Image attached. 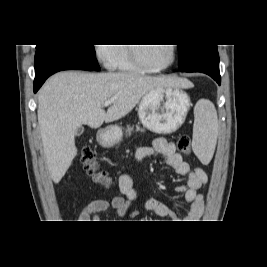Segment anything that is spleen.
Instances as JSON below:
<instances>
[{"mask_svg":"<svg viewBox=\"0 0 267 267\" xmlns=\"http://www.w3.org/2000/svg\"><path fill=\"white\" fill-rule=\"evenodd\" d=\"M218 118L214 106L203 102L197 108L194 122L192 147L203 163H208L216 146Z\"/></svg>","mask_w":267,"mask_h":267,"instance_id":"3e777b00","label":"spleen"}]
</instances>
